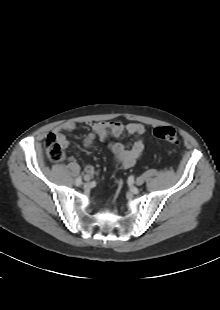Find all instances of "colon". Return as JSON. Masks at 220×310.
Masks as SVG:
<instances>
[{
  "mask_svg": "<svg viewBox=\"0 0 220 310\" xmlns=\"http://www.w3.org/2000/svg\"><path fill=\"white\" fill-rule=\"evenodd\" d=\"M153 135L165 142L175 144L178 142V135L174 128L169 126H160L154 129ZM112 135L104 137L106 143L111 142ZM46 156L50 161L59 162L64 159V146L54 133H50L45 141Z\"/></svg>",
  "mask_w": 220,
  "mask_h": 310,
  "instance_id": "5ec220e1",
  "label": "colon"
}]
</instances>
